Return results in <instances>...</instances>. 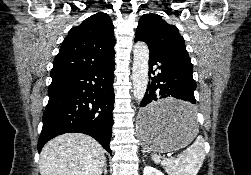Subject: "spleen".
<instances>
[{"label": "spleen", "mask_w": 251, "mask_h": 175, "mask_svg": "<svg viewBox=\"0 0 251 175\" xmlns=\"http://www.w3.org/2000/svg\"><path fill=\"white\" fill-rule=\"evenodd\" d=\"M185 123H192L193 111L191 109H183ZM196 123V121H195ZM196 127V125H194ZM205 139L202 135H198L194 143L184 149L183 153H179L176 159H159V155H152L153 161L165 165L168 175H196L205 159Z\"/></svg>", "instance_id": "obj_1"}]
</instances>
